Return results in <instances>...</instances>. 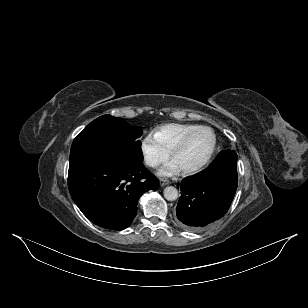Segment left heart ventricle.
<instances>
[{
	"label": "left heart ventricle",
	"mask_w": 308,
	"mask_h": 308,
	"mask_svg": "<svg viewBox=\"0 0 308 308\" xmlns=\"http://www.w3.org/2000/svg\"><path fill=\"white\" fill-rule=\"evenodd\" d=\"M212 144V134L208 131H201L189 141L182 151L175 155L173 160L178 163L181 169L198 165L206 158Z\"/></svg>",
	"instance_id": "1"
}]
</instances>
